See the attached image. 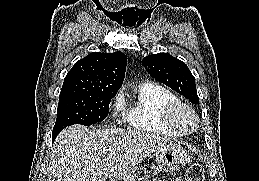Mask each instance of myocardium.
<instances>
[{"mask_svg": "<svg viewBox=\"0 0 259 181\" xmlns=\"http://www.w3.org/2000/svg\"><path fill=\"white\" fill-rule=\"evenodd\" d=\"M166 121L185 134L193 133L199 127V118L195 110L182 101L169 106L166 111Z\"/></svg>", "mask_w": 259, "mask_h": 181, "instance_id": "obj_1", "label": "myocardium"}]
</instances>
